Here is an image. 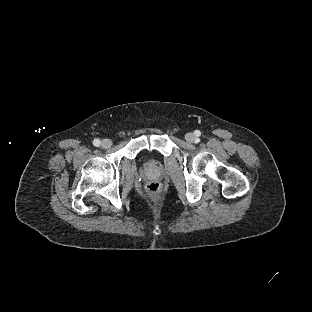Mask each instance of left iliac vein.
<instances>
[{"label": "left iliac vein", "mask_w": 312, "mask_h": 312, "mask_svg": "<svg viewBox=\"0 0 312 312\" xmlns=\"http://www.w3.org/2000/svg\"><path fill=\"white\" fill-rule=\"evenodd\" d=\"M185 139L188 141V142H193L195 140V135L193 133H187L185 135Z\"/></svg>", "instance_id": "left-iliac-vein-1"}]
</instances>
